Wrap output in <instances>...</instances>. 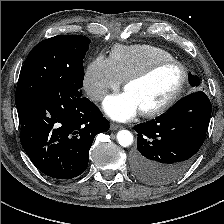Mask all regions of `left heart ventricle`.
<instances>
[{
    "mask_svg": "<svg viewBox=\"0 0 224 224\" xmlns=\"http://www.w3.org/2000/svg\"><path fill=\"white\" fill-rule=\"evenodd\" d=\"M181 77L175 65L160 68L148 78L132 83L126 91L136 100L140 111L164 102L176 89Z\"/></svg>",
    "mask_w": 224,
    "mask_h": 224,
    "instance_id": "obj_1",
    "label": "left heart ventricle"
}]
</instances>
